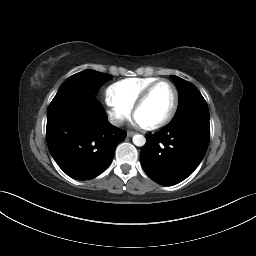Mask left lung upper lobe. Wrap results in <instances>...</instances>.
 I'll list each match as a JSON object with an SVG mask.
<instances>
[{
    "label": "left lung upper lobe",
    "mask_w": 256,
    "mask_h": 256,
    "mask_svg": "<svg viewBox=\"0 0 256 256\" xmlns=\"http://www.w3.org/2000/svg\"><path fill=\"white\" fill-rule=\"evenodd\" d=\"M179 91V104L171 123L187 116H197L209 119L208 106L199 90L190 82L177 77L170 76Z\"/></svg>",
    "instance_id": "obj_1"
}]
</instances>
